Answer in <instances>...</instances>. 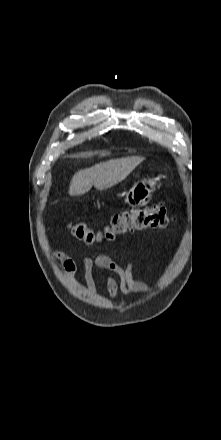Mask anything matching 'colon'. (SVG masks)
<instances>
[{
	"instance_id": "5ec220e1",
	"label": "colon",
	"mask_w": 221,
	"mask_h": 440,
	"mask_svg": "<svg viewBox=\"0 0 221 440\" xmlns=\"http://www.w3.org/2000/svg\"><path fill=\"white\" fill-rule=\"evenodd\" d=\"M172 218L160 205L136 207L113 216L109 224L93 229L81 221L69 222L71 234L86 244L93 245L102 241H112L127 232L143 229H165Z\"/></svg>"
}]
</instances>
